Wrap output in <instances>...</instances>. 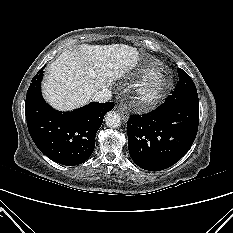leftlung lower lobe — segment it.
Returning a JSON list of instances; mask_svg holds the SVG:
<instances>
[{
  "instance_id": "1",
  "label": "left lung lower lobe",
  "mask_w": 233,
  "mask_h": 233,
  "mask_svg": "<svg viewBox=\"0 0 233 233\" xmlns=\"http://www.w3.org/2000/svg\"><path fill=\"white\" fill-rule=\"evenodd\" d=\"M199 124V99L169 95L154 111L130 115L128 148L142 169L160 171L178 162L192 146Z\"/></svg>"
}]
</instances>
